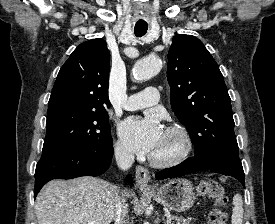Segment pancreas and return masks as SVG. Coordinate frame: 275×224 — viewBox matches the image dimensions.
<instances>
[{"label":"pancreas","instance_id":"cf45deb5","mask_svg":"<svg viewBox=\"0 0 275 224\" xmlns=\"http://www.w3.org/2000/svg\"><path fill=\"white\" fill-rule=\"evenodd\" d=\"M173 220L177 222V224H193L194 219L192 217H182V216H173Z\"/></svg>","mask_w":275,"mask_h":224}]
</instances>
